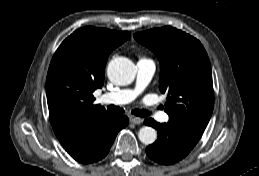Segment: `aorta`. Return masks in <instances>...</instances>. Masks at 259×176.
<instances>
[{"mask_svg": "<svg viewBox=\"0 0 259 176\" xmlns=\"http://www.w3.org/2000/svg\"><path fill=\"white\" fill-rule=\"evenodd\" d=\"M136 74L134 63L125 57L112 59L107 67L108 78L117 85L130 84ZM139 140L145 144H153L157 139V131L149 126L142 127L138 132Z\"/></svg>", "mask_w": 259, "mask_h": 176, "instance_id": "aorta-1", "label": "aorta"}]
</instances>
